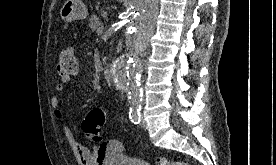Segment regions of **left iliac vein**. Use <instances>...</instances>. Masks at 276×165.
Wrapping results in <instances>:
<instances>
[{"mask_svg": "<svg viewBox=\"0 0 276 165\" xmlns=\"http://www.w3.org/2000/svg\"><path fill=\"white\" fill-rule=\"evenodd\" d=\"M140 126L144 129H147V122L143 118L141 119Z\"/></svg>", "mask_w": 276, "mask_h": 165, "instance_id": "obj_1", "label": "left iliac vein"}]
</instances>
